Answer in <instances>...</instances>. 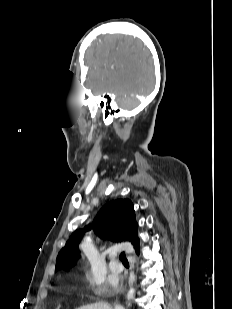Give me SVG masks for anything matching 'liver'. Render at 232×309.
<instances>
[{"instance_id":"1","label":"liver","mask_w":232,"mask_h":309,"mask_svg":"<svg viewBox=\"0 0 232 309\" xmlns=\"http://www.w3.org/2000/svg\"><path fill=\"white\" fill-rule=\"evenodd\" d=\"M78 309H112V308L108 303L98 302V303L82 306Z\"/></svg>"}]
</instances>
